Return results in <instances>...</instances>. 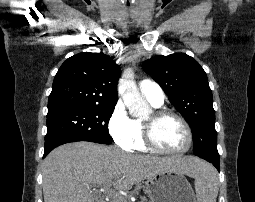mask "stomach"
I'll return each mask as SVG.
<instances>
[{"label":"stomach","instance_id":"0dacf381","mask_svg":"<svg viewBox=\"0 0 255 202\" xmlns=\"http://www.w3.org/2000/svg\"><path fill=\"white\" fill-rule=\"evenodd\" d=\"M153 186H146L151 202H196L193 189L184 176L177 171H166L151 176Z\"/></svg>","mask_w":255,"mask_h":202}]
</instances>
